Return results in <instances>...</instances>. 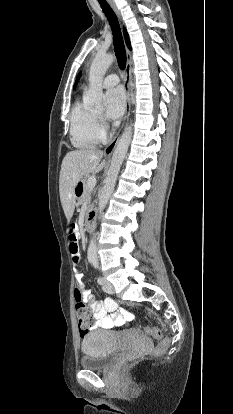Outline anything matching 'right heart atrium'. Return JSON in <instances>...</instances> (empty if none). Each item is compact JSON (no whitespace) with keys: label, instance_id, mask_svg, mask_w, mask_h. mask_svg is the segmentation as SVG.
Here are the masks:
<instances>
[{"label":"right heart atrium","instance_id":"1","mask_svg":"<svg viewBox=\"0 0 233 414\" xmlns=\"http://www.w3.org/2000/svg\"><path fill=\"white\" fill-rule=\"evenodd\" d=\"M98 125H99V127H100V130H101L102 134L104 135L101 120H99Z\"/></svg>","mask_w":233,"mask_h":414}]
</instances>
